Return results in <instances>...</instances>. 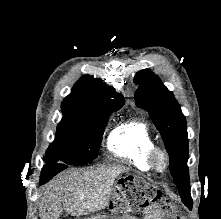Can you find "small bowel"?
Instances as JSON below:
<instances>
[{
    "label": "small bowel",
    "instance_id": "1",
    "mask_svg": "<svg viewBox=\"0 0 221 219\" xmlns=\"http://www.w3.org/2000/svg\"><path fill=\"white\" fill-rule=\"evenodd\" d=\"M151 211H152V208H147V209L145 210V213L150 214ZM149 216H151V215H149Z\"/></svg>",
    "mask_w": 221,
    "mask_h": 219
}]
</instances>
